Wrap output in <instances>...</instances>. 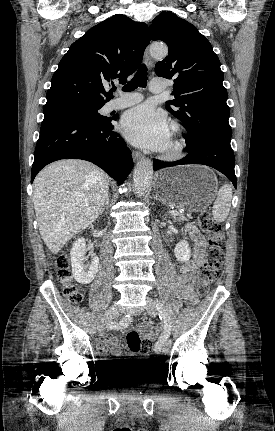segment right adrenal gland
Segmentation results:
<instances>
[{"label": "right adrenal gland", "instance_id": "2a0ac1e0", "mask_svg": "<svg viewBox=\"0 0 275 431\" xmlns=\"http://www.w3.org/2000/svg\"><path fill=\"white\" fill-rule=\"evenodd\" d=\"M109 197H107V199H106V201H105V204H104V206H103V208H102V210H101V214H103V212H104V210H105V208H107V206H108V204H109Z\"/></svg>", "mask_w": 275, "mask_h": 431}]
</instances>
